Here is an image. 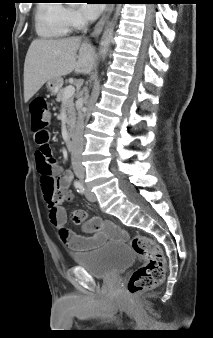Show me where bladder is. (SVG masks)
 Listing matches in <instances>:
<instances>
[{
  "instance_id": "1",
  "label": "bladder",
  "mask_w": 213,
  "mask_h": 338,
  "mask_svg": "<svg viewBox=\"0 0 213 338\" xmlns=\"http://www.w3.org/2000/svg\"><path fill=\"white\" fill-rule=\"evenodd\" d=\"M134 253L127 242H111L88 253L76 254L74 260L93 278L108 279L132 265Z\"/></svg>"
}]
</instances>
